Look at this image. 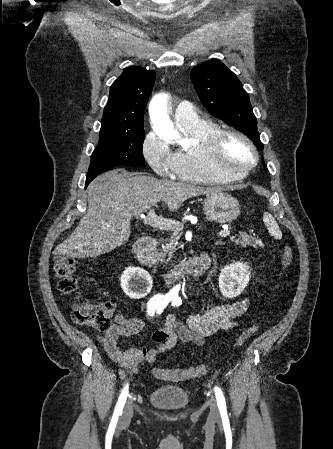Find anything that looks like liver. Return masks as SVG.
<instances>
[{
  "label": "liver",
  "mask_w": 333,
  "mask_h": 449,
  "mask_svg": "<svg viewBox=\"0 0 333 449\" xmlns=\"http://www.w3.org/2000/svg\"><path fill=\"white\" fill-rule=\"evenodd\" d=\"M192 184L158 180L154 177L108 171L88 186V209L74 232L54 251L74 258L96 257L128 241L130 220L160 201L170 212L188 198L217 192Z\"/></svg>",
  "instance_id": "1"
}]
</instances>
